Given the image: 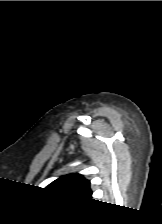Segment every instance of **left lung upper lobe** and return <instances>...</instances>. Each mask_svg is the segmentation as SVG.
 Returning <instances> with one entry per match:
<instances>
[{"mask_svg": "<svg viewBox=\"0 0 162 224\" xmlns=\"http://www.w3.org/2000/svg\"><path fill=\"white\" fill-rule=\"evenodd\" d=\"M53 192L77 198H91L90 182L82 175L73 173L53 181L48 188Z\"/></svg>", "mask_w": 162, "mask_h": 224, "instance_id": "obj_1", "label": "left lung upper lobe"}]
</instances>
